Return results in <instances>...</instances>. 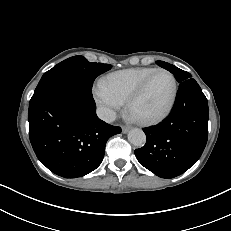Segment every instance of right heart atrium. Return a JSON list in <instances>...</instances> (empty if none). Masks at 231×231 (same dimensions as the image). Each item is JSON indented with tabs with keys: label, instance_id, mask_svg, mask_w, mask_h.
Segmentation results:
<instances>
[{
	"label": "right heart atrium",
	"instance_id": "right-heart-atrium-1",
	"mask_svg": "<svg viewBox=\"0 0 231 231\" xmlns=\"http://www.w3.org/2000/svg\"><path fill=\"white\" fill-rule=\"evenodd\" d=\"M94 99L107 120H111L122 106L121 101L104 91L100 85L94 89Z\"/></svg>",
	"mask_w": 231,
	"mask_h": 231
}]
</instances>
